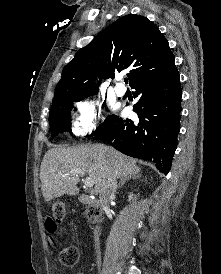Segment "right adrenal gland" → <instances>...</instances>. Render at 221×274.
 Segmentation results:
<instances>
[{
  "label": "right adrenal gland",
  "instance_id": "1",
  "mask_svg": "<svg viewBox=\"0 0 221 274\" xmlns=\"http://www.w3.org/2000/svg\"><path fill=\"white\" fill-rule=\"evenodd\" d=\"M138 177L139 176H128V177L121 178L118 188H121L127 181L131 179H137Z\"/></svg>",
  "mask_w": 221,
  "mask_h": 274
}]
</instances>
